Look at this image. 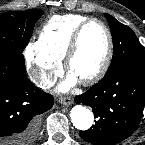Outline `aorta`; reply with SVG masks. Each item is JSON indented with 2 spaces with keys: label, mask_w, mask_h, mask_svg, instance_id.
<instances>
[{
  "label": "aorta",
  "mask_w": 145,
  "mask_h": 145,
  "mask_svg": "<svg viewBox=\"0 0 145 145\" xmlns=\"http://www.w3.org/2000/svg\"><path fill=\"white\" fill-rule=\"evenodd\" d=\"M70 119L76 129L85 131L93 125L94 115L86 107L76 105L70 111Z\"/></svg>",
  "instance_id": "obj_1"
}]
</instances>
